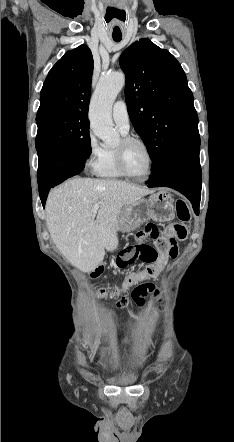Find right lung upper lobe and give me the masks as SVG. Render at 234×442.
I'll return each mask as SVG.
<instances>
[{
  "label": "right lung upper lobe",
  "mask_w": 234,
  "mask_h": 442,
  "mask_svg": "<svg viewBox=\"0 0 234 442\" xmlns=\"http://www.w3.org/2000/svg\"><path fill=\"white\" fill-rule=\"evenodd\" d=\"M92 73L93 57L86 45L67 51L47 75L37 117L53 113L88 114Z\"/></svg>",
  "instance_id": "right-lung-upper-lobe-1"
}]
</instances>
